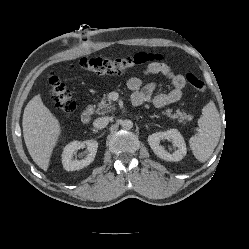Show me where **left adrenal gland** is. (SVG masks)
Returning a JSON list of instances; mask_svg holds the SVG:
<instances>
[{"mask_svg":"<svg viewBox=\"0 0 249 249\" xmlns=\"http://www.w3.org/2000/svg\"><path fill=\"white\" fill-rule=\"evenodd\" d=\"M155 117L158 118V116H156V115L150 116V118H155Z\"/></svg>","mask_w":249,"mask_h":249,"instance_id":"1","label":"left adrenal gland"}]
</instances>
